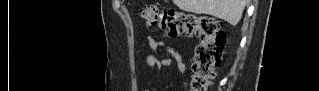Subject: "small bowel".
Returning a JSON list of instances; mask_svg holds the SVG:
<instances>
[{
  "mask_svg": "<svg viewBox=\"0 0 319 91\" xmlns=\"http://www.w3.org/2000/svg\"><path fill=\"white\" fill-rule=\"evenodd\" d=\"M149 47L157 52H161L165 57L158 59L155 55H148L145 60V64L148 68H157L162 66H174L180 73L185 72V64L183 61V55L178 50L167 46L165 41L149 37Z\"/></svg>",
  "mask_w": 319,
  "mask_h": 91,
  "instance_id": "obj_1",
  "label": "small bowel"
}]
</instances>
